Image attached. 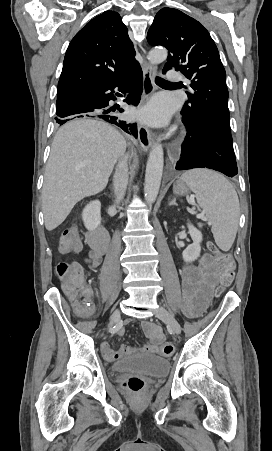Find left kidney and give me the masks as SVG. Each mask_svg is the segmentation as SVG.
Instances as JSON below:
<instances>
[{
	"instance_id": "left-kidney-1",
	"label": "left kidney",
	"mask_w": 272,
	"mask_h": 451,
	"mask_svg": "<svg viewBox=\"0 0 272 451\" xmlns=\"http://www.w3.org/2000/svg\"><path fill=\"white\" fill-rule=\"evenodd\" d=\"M187 227L193 239V243L187 245L186 249L182 251V257L184 261H195V259H197V257H199L200 255L201 251L200 243L202 241V233L200 229H197V227L192 226V224H187Z\"/></svg>"
}]
</instances>
